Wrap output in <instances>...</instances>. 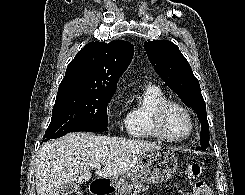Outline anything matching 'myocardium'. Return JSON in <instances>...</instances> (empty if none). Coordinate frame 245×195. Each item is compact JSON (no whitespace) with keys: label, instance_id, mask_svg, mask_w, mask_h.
I'll list each match as a JSON object with an SVG mask.
<instances>
[{"label":"myocardium","instance_id":"f54148a6","mask_svg":"<svg viewBox=\"0 0 245 195\" xmlns=\"http://www.w3.org/2000/svg\"><path fill=\"white\" fill-rule=\"evenodd\" d=\"M171 107H176V108L181 109L186 114L189 120V131L187 132L185 136L171 137L166 133L163 127L164 115L167 112V110L170 109ZM151 124H152V128L154 132L156 133V135L160 139L165 140L167 142L185 141L193 134L194 128H195V121H194L191 111L182 103L177 102V101H172V100H167L165 102H162L153 110L152 116H151Z\"/></svg>","mask_w":245,"mask_h":195}]
</instances>
